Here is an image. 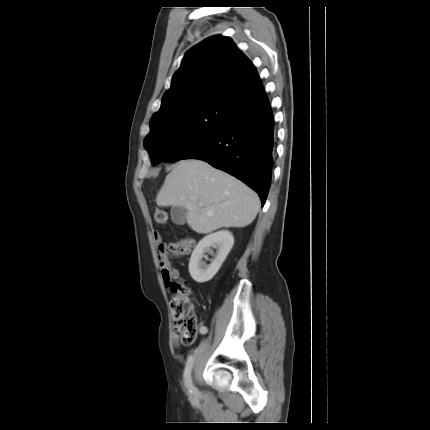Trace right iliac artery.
<instances>
[{
    "label": "right iliac artery",
    "instance_id": "obj_1",
    "mask_svg": "<svg viewBox=\"0 0 430 430\" xmlns=\"http://www.w3.org/2000/svg\"><path fill=\"white\" fill-rule=\"evenodd\" d=\"M201 335H206V330H201L200 331ZM197 350V349H196ZM196 350L194 352H196ZM193 360H194V355L193 353H191L188 356L187 362H186V366L184 369V374H183V378H184V383L186 388L188 389L189 392H192V380H191V369H192V365H193Z\"/></svg>",
    "mask_w": 430,
    "mask_h": 430
}]
</instances>
